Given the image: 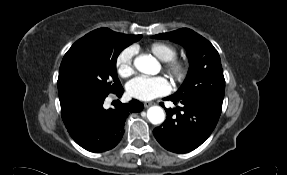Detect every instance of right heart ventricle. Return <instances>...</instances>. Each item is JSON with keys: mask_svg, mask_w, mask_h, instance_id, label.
Returning <instances> with one entry per match:
<instances>
[{"mask_svg": "<svg viewBox=\"0 0 287 175\" xmlns=\"http://www.w3.org/2000/svg\"><path fill=\"white\" fill-rule=\"evenodd\" d=\"M147 50L159 60L165 62L176 57L177 49L174 45L157 41L147 46Z\"/></svg>", "mask_w": 287, "mask_h": 175, "instance_id": "right-heart-ventricle-1", "label": "right heart ventricle"}]
</instances>
